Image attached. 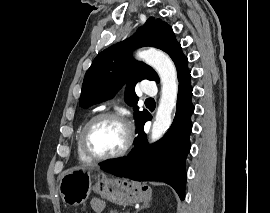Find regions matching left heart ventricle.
Masks as SVG:
<instances>
[{"mask_svg": "<svg viewBox=\"0 0 270 213\" xmlns=\"http://www.w3.org/2000/svg\"><path fill=\"white\" fill-rule=\"evenodd\" d=\"M126 136V127L122 122L115 119H102L91 128L88 134V146L95 155H109L124 146Z\"/></svg>", "mask_w": 270, "mask_h": 213, "instance_id": "1", "label": "left heart ventricle"}]
</instances>
